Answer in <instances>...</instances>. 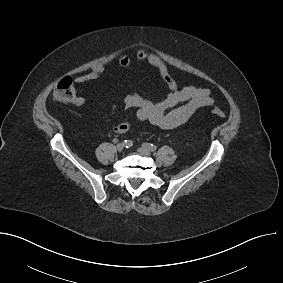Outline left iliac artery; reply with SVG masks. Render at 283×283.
<instances>
[{"instance_id":"left-iliac-artery-1","label":"left iliac artery","mask_w":283,"mask_h":283,"mask_svg":"<svg viewBox=\"0 0 283 283\" xmlns=\"http://www.w3.org/2000/svg\"><path fill=\"white\" fill-rule=\"evenodd\" d=\"M142 146L148 151H156L157 147L150 143H143Z\"/></svg>"}]
</instances>
